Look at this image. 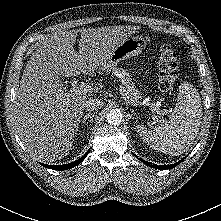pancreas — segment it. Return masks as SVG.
<instances>
[{"label": "pancreas", "instance_id": "obj_1", "mask_svg": "<svg viewBox=\"0 0 221 221\" xmlns=\"http://www.w3.org/2000/svg\"><path fill=\"white\" fill-rule=\"evenodd\" d=\"M114 74H121L122 79V85L123 88L126 90L127 93V99L131 103H138V100L140 99V91L136 89L135 84L132 82V79L130 78V75L124 70V69H115Z\"/></svg>", "mask_w": 221, "mask_h": 221}]
</instances>
